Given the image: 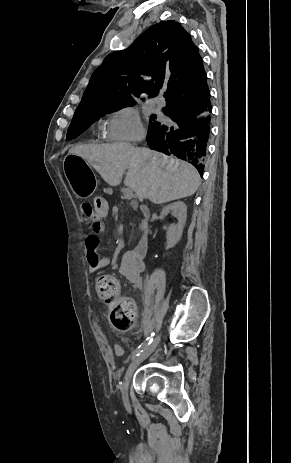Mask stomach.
Returning a JSON list of instances; mask_svg holds the SVG:
<instances>
[{"mask_svg": "<svg viewBox=\"0 0 291 463\" xmlns=\"http://www.w3.org/2000/svg\"><path fill=\"white\" fill-rule=\"evenodd\" d=\"M64 170L71 189L78 198L92 195L96 187V178L84 159L68 154L64 161Z\"/></svg>", "mask_w": 291, "mask_h": 463, "instance_id": "0dacf381", "label": "stomach"}]
</instances>
